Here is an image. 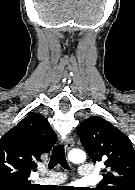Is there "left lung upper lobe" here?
Masks as SVG:
<instances>
[{
    "instance_id": "left-lung-upper-lobe-1",
    "label": "left lung upper lobe",
    "mask_w": 135,
    "mask_h": 190,
    "mask_svg": "<svg viewBox=\"0 0 135 190\" xmlns=\"http://www.w3.org/2000/svg\"><path fill=\"white\" fill-rule=\"evenodd\" d=\"M77 134L93 162L104 161L107 168L95 190H135V151L124 133L101 117H90Z\"/></svg>"
}]
</instances>
